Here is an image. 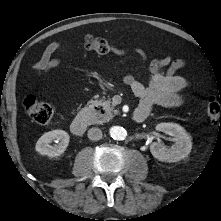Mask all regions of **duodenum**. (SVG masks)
I'll return each mask as SVG.
<instances>
[{"instance_id":"410a0bca","label":"duodenum","mask_w":221,"mask_h":221,"mask_svg":"<svg viewBox=\"0 0 221 221\" xmlns=\"http://www.w3.org/2000/svg\"><path fill=\"white\" fill-rule=\"evenodd\" d=\"M148 113L145 110H136L132 114V119L136 123L143 122ZM87 129V118L84 113L79 114L71 124L72 132L77 135H83Z\"/></svg>"}]
</instances>
